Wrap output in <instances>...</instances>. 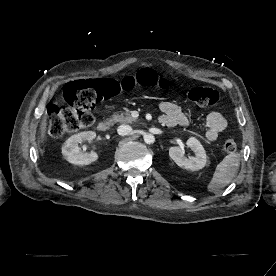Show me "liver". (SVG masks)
<instances>
[{"label": "liver", "instance_id": "liver-1", "mask_svg": "<svg viewBox=\"0 0 276 276\" xmlns=\"http://www.w3.org/2000/svg\"><path fill=\"white\" fill-rule=\"evenodd\" d=\"M47 118L48 116L46 114L40 125L39 143H43L46 138Z\"/></svg>", "mask_w": 276, "mask_h": 276}]
</instances>
